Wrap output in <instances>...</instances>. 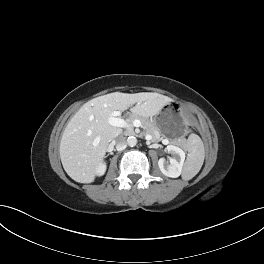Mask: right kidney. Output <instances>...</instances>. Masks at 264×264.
Returning <instances> with one entry per match:
<instances>
[{"instance_id":"right-kidney-1","label":"right kidney","mask_w":264,"mask_h":264,"mask_svg":"<svg viewBox=\"0 0 264 264\" xmlns=\"http://www.w3.org/2000/svg\"><path fill=\"white\" fill-rule=\"evenodd\" d=\"M106 171V164L105 163H101L98 167H97V171H96V174L98 176H102L104 175Z\"/></svg>"}]
</instances>
